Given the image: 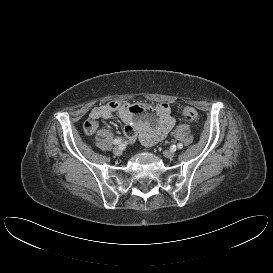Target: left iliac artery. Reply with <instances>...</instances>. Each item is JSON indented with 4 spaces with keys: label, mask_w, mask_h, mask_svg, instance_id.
<instances>
[{
    "label": "left iliac artery",
    "mask_w": 273,
    "mask_h": 273,
    "mask_svg": "<svg viewBox=\"0 0 273 273\" xmlns=\"http://www.w3.org/2000/svg\"><path fill=\"white\" fill-rule=\"evenodd\" d=\"M177 148H178V149H182V148H183V144H182V143H178V144H177Z\"/></svg>",
    "instance_id": "obj_1"
}]
</instances>
